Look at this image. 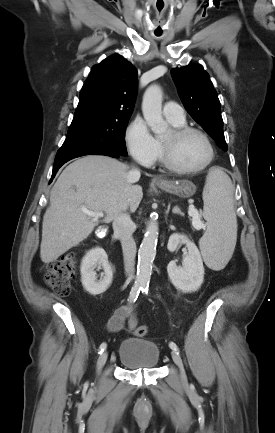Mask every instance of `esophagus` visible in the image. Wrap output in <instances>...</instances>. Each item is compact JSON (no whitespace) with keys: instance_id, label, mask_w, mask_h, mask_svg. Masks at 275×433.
Masks as SVG:
<instances>
[{"instance_id":"1","label":"esophagus","mask_w":275,"mask_h":433,"mask_svg":"<svg viewBox=\"0 0 275 433\" xmlns=\"http://www.w3.org/2000/svg\"><path fill=\"white\" fill-rule=\"evenodd\" d=\"M166 181L164 180V179H162V178H157L156 179V183L157 184H164Z\"/></svg>"}]
</instances>
